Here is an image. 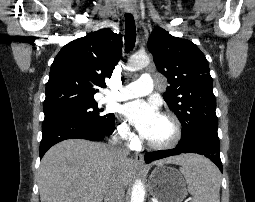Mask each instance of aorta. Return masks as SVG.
<instances>
[{"mask_svg":"<svg viewBox=\"0 0 255 202\" xmlns=\"http://www.w3.org/2000/svg\"><path fill=\"white\" fill-rule=\"evenodd\" d=\"M150 59L146 54L133 55L128 64V68L131 71H136L148 66ZM145 187L140 180H137L132 188L131 202H144Z\"/></svg>","mask_w":255,"mask_h":202,"instance_id":"obj_1","label":"aorta"}]
</instances>
